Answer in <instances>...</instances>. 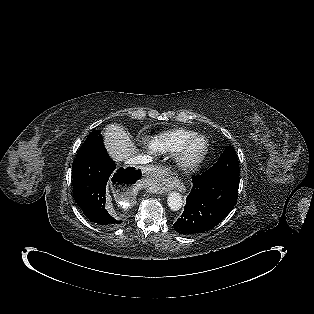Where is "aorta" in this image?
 I'll return each instance as SVG.
<instances>
[{"label":"aorta","mask_w":314,"mask_h":314,"mask_svg":"<svg viewBox=\"0 0 314 314\" xmlns=\"http://www.w3.org/2000/svg\"><path fill=\"white\" fill-rule=\"evenodd\" d=\"M167 203L172 211H178L183 205L182 196L178 192H171L167 198Z\"/></svg>","instance_id":"obj_1"}]
</instances>
